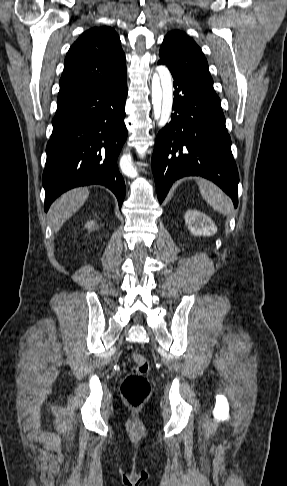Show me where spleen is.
Returning <instances> with one entry per match:
<instances>
[{
    "instance_id": "3e777b00",
    "label": "spleen",
    "mask_w": 287,
    "mask_h": 486,
    "mask_svg": "<svg viewBox=\"0 0 287 486\" xmlns=\"http://www.w3.org/2000/svg\"><path fill=\"white\" fill-rule=\"evenodd\" d=\"M202 197L215 210L224 215H229L232 204L227 195L214 183L206 179L197 180Z\"/></svg>"
}]
</instances>
